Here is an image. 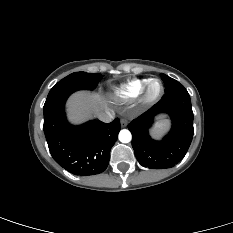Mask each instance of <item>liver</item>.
Listing matches in <instances>:
<instances>
[{"label":"liver","mask_w":233,"mask_h":233,"mask_svg":"<svg viewBox=\"0 0 233 233\" xmlns=\"http://www.w3.org/2000/svg\"><path fill=\"white\" fill-rule=\"evenodd\" d=\"M107 109L104 98L98 93L80 91L73 94L68 101V117L75 124L82 123Z\"/></svg>","instance_id":"6515ba94"}]
</instances>
